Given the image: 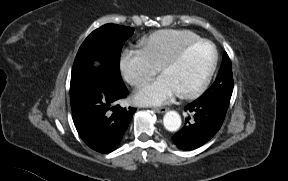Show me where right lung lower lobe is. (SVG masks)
Wrapping results in <instances>:
<instances>
[{"instance_id":"obj_1","label":"right lung lower lobe","mask_w":288,"mask_h":181,"mask_svg":"<svg viewBox=\"0 0 288 181\" xmlns=\"http://www.w3.org/2000/svg\"><path fill=\"white\" fill-rule=\"evenodd\" d=\"M79 96L71 104L74 125L93 150L109 153L121 143L135 108L112 105L127 94L125 84H114L103 72L83 76Z\"/></svg>"}]
</instances>
